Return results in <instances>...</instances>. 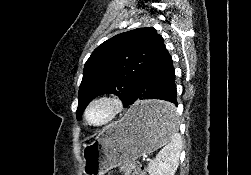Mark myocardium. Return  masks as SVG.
I'll use <instances>...</instances> for the list:
<instances>
[{
  "instance_id": "obj_1",
  "label": "myocardium",
  "mask_w": 251,
  "mask_h": 175,
  "mask_svg": "<svg viewBox=\"0 0 251 175\" xmlns=\"http://www.w3.org/2000/svg\"><path fill=\"white\" fill-rule=\"evenodd\" d=\"M103 101L111 103L115 107V113L113 117L105 124L94 125L90 122V119H89L90 109L93 104L97 102H103ZM126 112H127V104L124 98L122 97V95H120L117 92H104L93 97L88 102L84 110V119H85L86 124L93 129H105V128H109L110 126L120 121L125 116Z\"/></svg>"
}]
</instances>
